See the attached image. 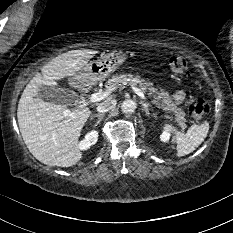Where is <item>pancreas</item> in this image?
<instances>
[{
  "label": "pancreas",
  "mask_w": 233,
  "mask_h": 233,
  "mask_svg": "<svg viewBox=\"0 0 233 233\" xmlns=\"http://www.w3.org/2000/svg\"><path fill=\"white\" fill-rule=\"evenodd\" d=\"M130 81L133 85H138V87L148 96L153 97L154 103H159V106L163 108L165 111L172 112L175 115V122L182 128H186V119L185 112L182 108L178 107V103L174 101L173 97L170 96L167 92L162 89H157L152 86V83L146 81L145 78H141L136 75L133 76L131 74H120L114 75L111 79H109L106 83L107 88L115 87L118 88L122 85L123 82Z\"/></svg>",
  "instance_id": "obj_1"
}]
</instances>
